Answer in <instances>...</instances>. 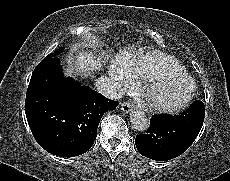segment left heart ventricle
<instances>
[{
	"label": "left heart ventricle",
	"mask_w": 230,
	"mask_h": 181,
	"mask_svg": "<svg viewBox=\"0 0 230 181\" xmlns=\"http://www.w3.org/2000/svg\"><path fill=\"white\" fill-rule=\"evenodd\" d=\"M189 83L183 78L170 79L160 85L154 92V98L160 102L179 101L188 91Z\"/></svg>",
	"instance_id": "obj_1"
}]
</instances>
